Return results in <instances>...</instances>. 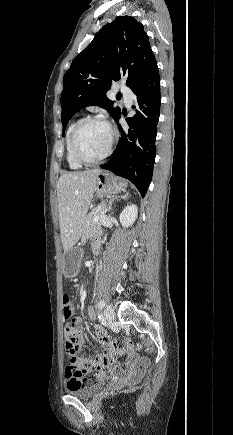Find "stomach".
<instances>
[{
    "label": "stomach",
    "instance_id": "stomach-1",
    "mask_svg": "<svg viewBox=\"0 0 233 435\" xmlns=\"http://www.w3.org/2000/svg\"><path fill=\"white\" fill-rule=\"evenodd\" d=\"M125 182L117 180L111 173L101 172L96 179L95 192L99 198L106 195L117 194L126 188ZM82 250L78 247H70L62 254V268L65 277L74 278L80 272Z\"/></svg>",
    "mask_w": 233,
    "mask_h": 435
}]
</instances>
